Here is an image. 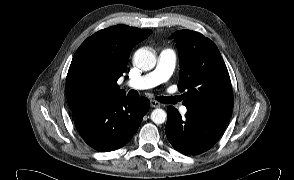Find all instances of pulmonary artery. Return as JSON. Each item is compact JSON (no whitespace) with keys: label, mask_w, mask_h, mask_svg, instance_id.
I'll return each instance as SVG.
<instances>
[{"label":"pulmonary artery","mask_w":294,"mask_h":180,"mask_svg":"<svg viewBox=\"0 0 294 180\" xmlns=\"http://www.w3.org/2000/svg\"><path fill=\"white\" fill-rule=\"evenodd\" d=\"M175 65V53L172 49H164L160 52L156 68L136 79L127 83L128 86L136 90H143L155 87L169 80ZM180 113L184 114L187 111L185 106L179 108Z\"/></svg>","instance_id":"e3ab8cb5"}]
</instances>
